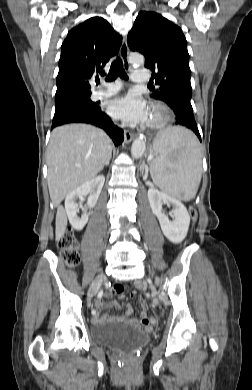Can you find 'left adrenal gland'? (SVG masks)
Listing matches in <instances>:
<instances>
[{
  "instance_id": "obj_1",
  "label": "left adrenal gland",
  "mask_w": 252,
  "mask_h": 390,
  "mask_svg": "<svg viewBox=\"0 0 252 390\" xmlns=\"http://www.w3.org/2000/svg\"><path fill=\"white\" fill-rule=\"evenodd\" d=\"M142 175H143V180H146V178H147V171H145V174H144V168L142 169Z\"/></svg>"
}]
</instances>
